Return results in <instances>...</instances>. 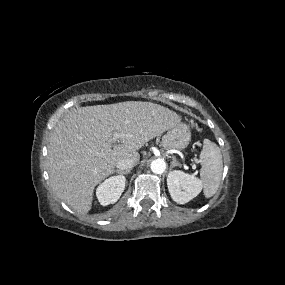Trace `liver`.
<instances>
[{
  "label": "liver",
  "instance_id": "1",
  "mask_svg": "<svg viewBox=\"0 0 285 285\" xmlns=\"http://www.w3.org/2000/svg\"><path fill=\"white\" fill-rule=\"evenodd\" d=\"M180 122V116L151 102L127 101L73 109L55 127L48 148L50 184L80 214L92 207L94 188L121 159L140 160L146 142ZM120 134L115 144L113 134Z\"/></svg>",
  "mask_w": 285,
  "mask_h": 285
}]
</instances>
